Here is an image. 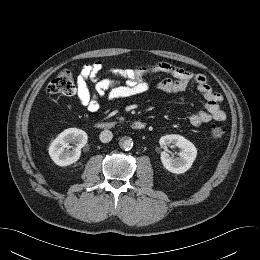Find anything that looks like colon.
Instances as JSON below:
<instances>
[{"mask_svg":"<svg viewBox=\"0 0 260 260\" xmlns=\"http://www.w3.org/2000/svg\"><path fill=\"white\" fill-rule=\"evenodd\" d=\"M48 91L51 94H58L63 96H71L76 91L74 74L68 70H62L56 78H54L48 85ZM226 134V127L220 123H213L210 126V135L213 139L219 140Z\"/></svg>","mask_w":260,"mask_h":260,"instance_id":"colon-1","label":"colon"}]
</instances>
